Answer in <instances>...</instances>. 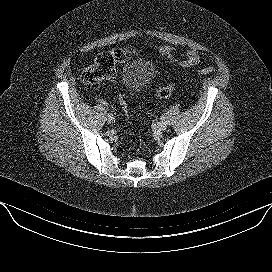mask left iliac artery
Wrapping results in <instances>:
<instances>
[{
  "mask_svg": "<svg viewBox=\"0 0 272 272\" xmlns=\"http://www.w3.org/2000/svg\"><path fill=\"white\" fill-rule=\"evenodd\" d=\"M160 119H161L162 121L165 120V116L162 115V116L160 117Z\"/></svg>",
  "mask_w": 272,
  "mask_h": 272,
  "instance_id": "left-iliac-artery-1",
  "label": "left iliac artery"
}]
</instances>
